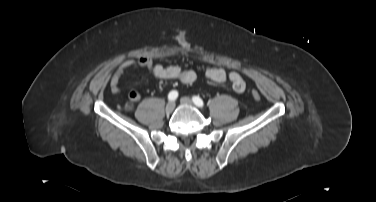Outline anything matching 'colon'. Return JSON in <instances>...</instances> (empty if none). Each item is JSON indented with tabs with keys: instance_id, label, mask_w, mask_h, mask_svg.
Here are the masks:
<instances>
[{
	"instance_id": "5ec220e1",
	"label": "colon",
	"mask_w": 376,
	"mask_h": 202,
	"mask_svg": "<svg viewBox=\"0 0 376 202\" xmlns=\"http://www.w3.org/2000/svg\"><path fill=\"white\" fill-rule=\"evenodd\" d=\"M252 95H253V98L256 99V100H258L260 98L259 93L256 92V91H253Z\"/></svg>"
}]
</instances>
